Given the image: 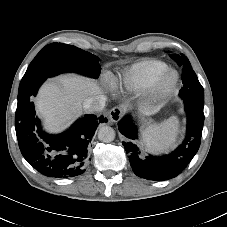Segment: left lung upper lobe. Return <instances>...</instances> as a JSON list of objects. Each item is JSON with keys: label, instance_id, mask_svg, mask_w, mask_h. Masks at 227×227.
I'll use <instances>...</instances> for the list:
<instances>
[{"label": "left lung upper lobe", "instance_id": "obj_1", "mask_svg": "<svg viewBox=\"0 0 227 227\" xmlns=\"http://www.w3.org/2000/svg\"><path fill=\"white\" fill-rule=\"evenodd\" d=\"M170 57L183 68L182 83L184 86L180 90V97L191 95L204 97L203 87L200 84L195 72L193 71L188 58L183 54H171Z\"/></svg>", "mask_w": 227, "mask_h": 227}]
</instances>
